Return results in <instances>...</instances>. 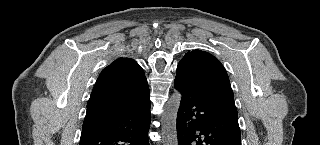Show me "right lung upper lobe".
Listing matches in <instances>:
<instances>
[{
	"instance_id": "obj_1",
	"label": "right lung upper lobe",
	"mask_w": 320,
	"mask_h": 145,
	"mask_svg": "<svg viewBox=\"0 0 320 145\" xmlns=\"http://www.w3.org/2000/svg\"><path fill=\"white\" fill-rule=\"evenodd\" d=\"M147 79L131 58H118L103 69L87 103L84 120L115 113L132 103Z\"/></svg>"
}]
</instances>
